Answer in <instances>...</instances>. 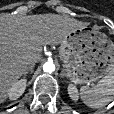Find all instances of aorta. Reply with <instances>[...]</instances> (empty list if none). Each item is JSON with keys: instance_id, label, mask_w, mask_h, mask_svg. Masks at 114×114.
Instances as JSON below:
<instances>
[{"instance_id": "obj_1", "label": "aorta", "mask_w": 114, "mask_h": 114, "mask_svg": "<svg viewBox=\"0 0 114 114\" xmlns=\"http://www.w3.org/2000/svg\"><path fill=\"white\" fill-rule=\"evenodd\" d=\"M44 72L51 73L55 71V64L53 62H46L43 65Z\"/></svg>"}]
</instances>
